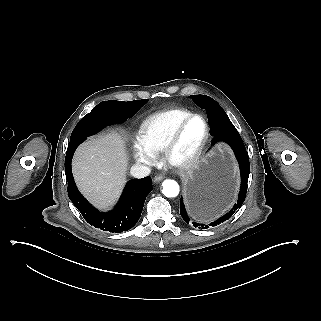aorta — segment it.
Instances as JSON below:
<instances>
[{"label": "aorta", "mask_w": 321, "mask_h": 321, "mask_svg": "<svg viewBox=\"0 0 321 321\" xmlns=\"http://www.w3.org/2000/svg\"><path fill=\"white\" fill-rule=\"evenodd\" d=\"M162 193L166 197H176L179 194V185L176 181L167 179L162 183Z\"/></svg>", "instance_id": "1"}]
</instances>
